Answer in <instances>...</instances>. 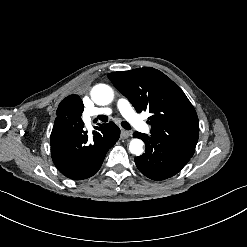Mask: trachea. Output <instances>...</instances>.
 I'll use <instances>...</instances> for the list:
<instances>
[{
  "mask_svg": "<svg viewBox=\"0 0 247 247\" xmlns=\"http://www.w3.org/2000/svg\"><path fill=\"white\" fill-rule=\"evenodd\" d=\"M98 118L103 121V122H107L108 121V117L104 116V115H100L98 116ZM122 127L126 130H131V125L128 122H122Z\"/></svg>",
  "mask_w": 247,
  "mask_h": 247,
  "instance_id": "trachea-1",
  "label": "trachea"
}]
</instances>
